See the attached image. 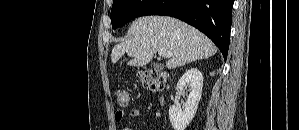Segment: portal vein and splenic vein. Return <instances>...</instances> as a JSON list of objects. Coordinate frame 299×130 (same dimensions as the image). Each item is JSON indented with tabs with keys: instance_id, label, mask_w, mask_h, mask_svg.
I'll return each mask as SVG.
<instances>
[{
	"instance_id": "1",
	"label": "portal vein and splenic vein",
	"mask_w": 299,
	"mask_h": 130,
	"mask_svg": "<svg viewBox=\"0 0 299 130\" xmlns=\"http://www.w3.org/2000/svg\"><path fill=\"white\" fill-rule=\"evenodd\" d=\"M159 56H162L164 58H170L172 56V53L168 51L167 49H160L158 50Z\"/></svg>"
}]
</instances>
